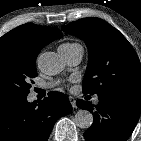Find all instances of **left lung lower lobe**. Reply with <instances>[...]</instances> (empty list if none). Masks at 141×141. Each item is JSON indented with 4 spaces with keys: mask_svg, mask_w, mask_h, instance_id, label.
<instances>
[{
    "mask_svg": "<svg viewBox=\"0 0 141 141\" xmlns=\"http://www.w3.org/2000/svg\"><path fill=\"white\" fill-rule=\"evenodd\" d=\"M99 103L77 100L82 109L93 113V124L84 132L86 141H126L134 130L141 111V96L99 94Z\"/></svg>",
    "mask_w": 141,
    "mask_h": 141,
    "instance_id": "left-lung-lower-lobe-1",
    "label": "left lung lower lobe"
}]
</instances>
